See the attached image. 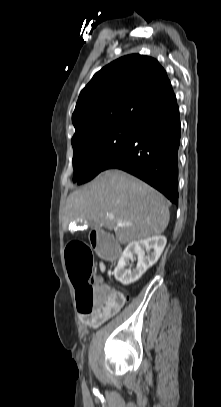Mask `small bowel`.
Returning <instances> with one entry per match:
<instances>
[{"mask_svg": "<svg viewBox=\"0 0 221 407\" xmlns=\"http://www.w3.org/2000/svg\"><path fill=\"white\" fill-rule=\"evenodd\" d=\"M100 268H101V270H104L105 265L103 263H101ZM114 314H96V313H93V314L82 317V321L88 327L96 328L100 324H102L105 320H107L110 316H112Z\"/></svg>", "mask_w": 221, "mask_h": 407, "instance_id": "c3829d8e", "label": "small bowel"}]
</instances>
